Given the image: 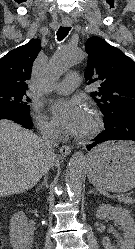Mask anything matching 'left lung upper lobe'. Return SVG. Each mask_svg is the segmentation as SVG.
<instances>
[{
    "label": "left lung upper lobe",
    "mask_w": 135,
    "mask_h": 249,
    "mask_svg": "<svg viewBox=\"0 0 135 249\" xmlns=\"http://www.w3.org/2000/svg\"><path fill=\"white\" fill-rule=\"evenodd\" d=\"M88 63L84 73L88 84L99 85L90 93L105 120L124 108H135V62L120 49L92 36L85 44Z\"/></svg>",
    "instance_id": "5c2ea615"
}]
</instances>
